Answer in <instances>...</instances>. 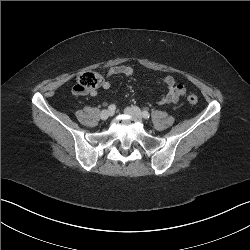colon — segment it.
Returning <instances> with one entry per match:
<instances>
[{
  "instance_id": "colon-1",
  "label": "colon",
  "mask_w": 250,
  "mask_h": 250,
  "mask_svg": "<svg viewBox=\"0 0 250 250\" xmlns=\"http://www.w3.org/2000/svg\"><path fill=\"white\" fill-rule=\"evenodd\" d=\"M102 84L103 79L98 73L87 71L78 76L77 82L73 87V92L79 95L86 94L99 88ZM187 100L190 104L195 105L198 102V97L191 94L187 97Z\"/></svg>"
}]
</instances>
